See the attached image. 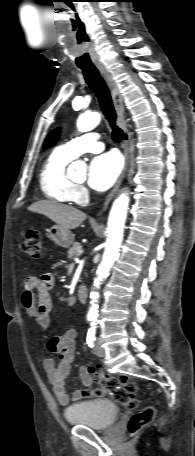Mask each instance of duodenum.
<instances>
[{
  "mask_svg": "<svg viewBox=\"0 0 195 456\" xmlns=\"http://www.w3.org/2000/svg\"><path fill=\"white\" fill-rule=\"evenodd\" d=\"M77 297L80 302H86L88 298V289L85 286H80L77 290Z\"/></svg>",
  "mask_w": 195,
  "mask_h": 456,
  "instance_id": "1",
  "label": "duodenum"
}]
</instances>
